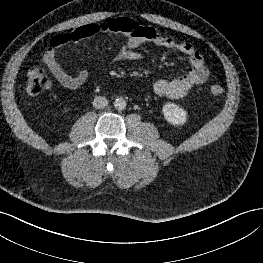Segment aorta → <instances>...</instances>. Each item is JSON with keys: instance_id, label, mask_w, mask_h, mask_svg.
<instances>
[{"instance_id": "1", "label": "aorta", "mask_w": 263, "mask_h": 263, "mask_svg": "<svg viewBox=\"0 0 263 263\" xmlns=\"http://www.w3.org/2000/svg\"><path fill=\"white\" fill-rule=\"evenodd\" d=\"M114 107L118 111H122L126 108V101L123 98H117L114 101Z\"/></svg>"}]
</instances>
